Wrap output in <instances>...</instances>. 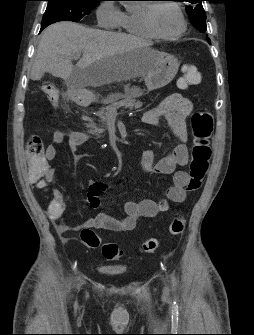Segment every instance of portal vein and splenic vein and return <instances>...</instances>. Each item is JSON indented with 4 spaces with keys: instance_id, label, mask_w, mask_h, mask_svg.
<instances>
[{
    "instance_id": "portal-vein-and-splenic-vein-1",
    "label": "portal vein and splenic vein",
    "mask_w": 254,
    "mask_h": 335,
    "mask_svg": "<svg viewBox=\"0 0 254 335\" xmlns=\"http://www.w3.org/2000/svg\"><path fill=\"white\" fill-rule=\"evenodd\" d=\"M79 57H80V55H77V56H76V58H79Z\"/></svg>"
}]
</instances>
